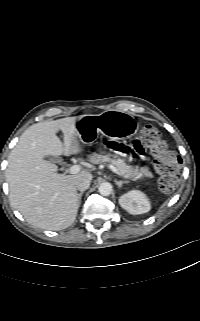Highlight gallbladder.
<instances>
[{"instance_id": "gallbladder-1", "label": "gallbladder", "mask_w": 200, "mask_h": 321, "mask_svg": "<svg viewBox=\"0 0 200 321\" xmlns=\"http://www.w3.org/2000/svg\"><path fill=\"white\" fill-rule=\"evenodd\" d=\"M45 158L50 162L61 163V158L59 157L46 156Z\"/></svg>"}]
</instances>
